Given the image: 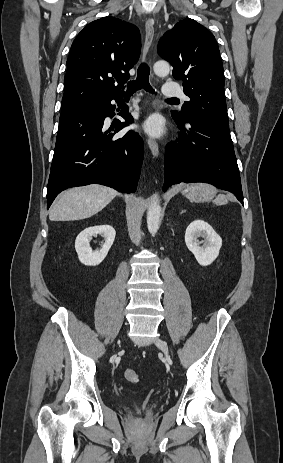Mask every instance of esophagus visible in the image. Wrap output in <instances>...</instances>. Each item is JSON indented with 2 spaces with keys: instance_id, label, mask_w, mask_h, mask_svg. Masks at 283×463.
Instances as JSON below:
<instances>
[{
  "instance_id": "obj_1",
  "label": "esophagus",
  "mask_w": 283,
  "mask_h": 463,
  "mask_svg": "<svg viewBox=\"0 0 283 463\" xmlns=\"http://www.w3.org/2000/svg\"><path fill=\"white\" fill-rule=\"evenodd\" d=\"M145 42H144V47H143V53L142 57L145 59L147 56L149 49L152 45L153 38H154V21L152 19H147L146 24H145ZM149 149L151 150L152 154L154 157H158L159 155V148L157 142L152 139L148 138L147 140Z\"/></svg>"
}]
</instances>
